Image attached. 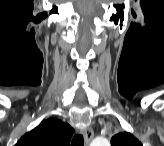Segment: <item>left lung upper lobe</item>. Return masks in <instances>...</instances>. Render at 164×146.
Segmentation results:
<instances>
[{"label": "left lung upper lobe", "instance_id": "5c2ea615", "mask_svg": "<svg viewBox=\"0 0 164 146\" xmlns=\"http://www.w3.org/2000/svg\"><path fill=\"white\" fill-rule=\"evenodd\" d=\"M112 146H142L138 139L128 132H120L111 139Z\"/></svg>", "mask_w": 164, "mask_h": 146}]
</instances>
